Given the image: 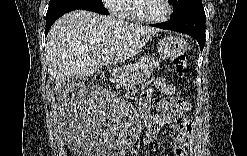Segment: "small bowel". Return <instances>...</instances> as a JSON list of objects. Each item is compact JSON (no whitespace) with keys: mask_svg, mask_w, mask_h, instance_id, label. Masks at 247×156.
Listing matches in <instances>:
<instances>
[{"mask_svg":"<svg viewBox=\"0 0 247 156\" xmlns=\"http://www.w3.org/2000/svg\"><path fill=\"white\" fill-rule=\"evenodd\" d=\"M155 88L165 96L164 98H171L172 106H160L158 114L148 117V121L154 126L174 125L177 128V134L174 137L172 152L177 156L187 155L193 133L192 123L185 114L190 109V104L174 97L175 87L163 78L157 79ZM152 93L153 90L149 89L142 96L145 111Z\"/></svg>","mask_w":247,"mask_h":156,"instance_id":"small-bowel-1","label":"small bowel"}]
</instances>
